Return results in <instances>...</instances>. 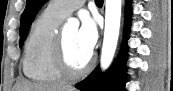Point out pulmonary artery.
<instances>
[{
	"mask_svg": "<svg viewBox=\"0 0 173 91\" xmlns=\"http://www.w3.org/2000/svg\"><path fill=\"white\" fill-rule=\"evenodd\" d=\"M84 0H73V1H64L57 0L51 1L49 3L48 9L56 14L57 16L65 19L72 14L75 10L80 8L84 4Z\"/></svg>",
	"mask_w": 173,
	"mask_h": 91,
	"instance_id": "1",
	"label": "pulmonary artery"
}]
</instances>
